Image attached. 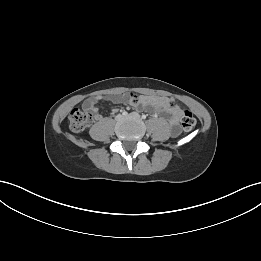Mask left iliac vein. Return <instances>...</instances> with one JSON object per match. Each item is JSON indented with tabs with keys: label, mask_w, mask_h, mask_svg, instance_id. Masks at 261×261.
I'll return each instance as SVG.
<instances>
[{
	"label": "left iliac vein",
	"mask_w": 261,
	"mask_h": 261,
	"mask_svg": "<svg viewBox=\"0 0 261 261\" xmlns=\"http://www.w3.org/2000/svg\"><path fill=\"white\" fill-rule=\"evenodd\" d=\"M126 117L133 118V119H139L140 115L137 112H132L129 115H127Z\"/></svg>",
	"instance_id": "1"
}]
</instances>
